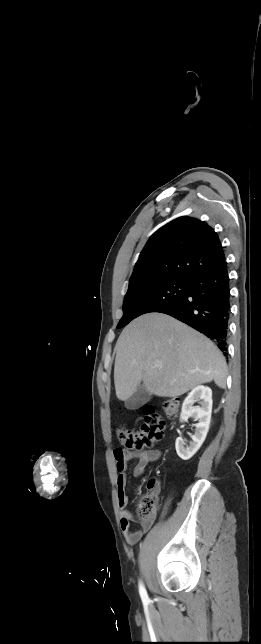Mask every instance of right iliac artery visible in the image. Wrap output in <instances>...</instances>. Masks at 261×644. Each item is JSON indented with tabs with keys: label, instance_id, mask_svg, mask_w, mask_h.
<instances>
[{
	"label": "right iliac artery",
	"instance_id": "82829eb1",
	"mask_svg": "<svg viewBox=\"0 0 261 644\" xmlns=\"http://www.w3.org/2000/svg\"><path fill=\"white\" fill-rule=\"evenodd\" d=\"M139 593L143 601H146L148 599L147 592L141 582L139 584Z\"/></svg>",
	"mask_w": 261,
	"mask_h": 644
}]
</instances>
